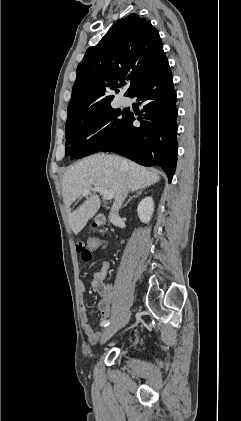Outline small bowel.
Here are the masks:
<instances>
[{"instance_id": "small-bowel-1", "label": "small bowel", "mask_w": 241, "mask_h": 421, "mask_svg": "<svg viewBox=\"0 0 241 421\" xmlns=\"http://www.w3.org/2000/svg\"><path fill=\"white\" fill-rule=\"evenodd\" d=\"M109 268H110V262L104 261L101 264L100 268L94 274L93 280L91 282L92 288L96 292H98L101 296V300L98 302L97 308H98V311L100 312L102 321L106 320V318L109 316L110 306H111V297L114 290V287L112 284L105 283V279L107 277ZM78 289H79L80 298L82 300L86 292L85 284L83 282H80ZM82 322H83V330H84L87 340L90 343H96L101 337L102 332L95 331L93 329V327L89 323L87 309L84 306H82Z\"/></svg>"}]
</instances>
